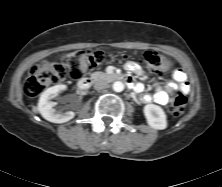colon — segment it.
Instances as JSON below:
<instances>
[{
	"instance_id": "5ec220e1",
	"label": "colon",
	"mask_w": 222,
	"mask_h": 187,
	"mask_svg": "<svg viewBox=\"0 0 222 187\" xmlns=\"http://www.w3.org/2000/svg\"><path fill=\"white\" fill-rule=\"evenodd\" d=\"M109 54L104 51H75L64 53L60 62L44 61L34 66L25 82V92L30 97L38 96L45 88L71 78L76 81L85 77L97 66L102 64ZM129 57H133L129 54ZM153 73H160L168 69L169 59L155 51H146L141 56ZM187 104V98L182 93H175L172 98L170 112L173 116H180Z\"/></svg>"
}]
</instances>
